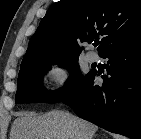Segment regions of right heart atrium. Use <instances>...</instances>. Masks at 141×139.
I'll list each match as a JSON object with an SVG mask.
<instances>
[{"label": "right heart atrium", "mask_w": 141, "mask_h": 139, "mask_svg": "<svg viewBox=\"0 0 141 139\" xmlns=\"http://www.w3.org/2000/svg\"><path fill=\"white\" fill-rule=\"evenodd\" d=\"M44 78L50 93L53 95H60L70 87L72 73L65 64L51 62L44 70Z\"/></svg>", "instance_id": "obj_1"}]
</instances>
